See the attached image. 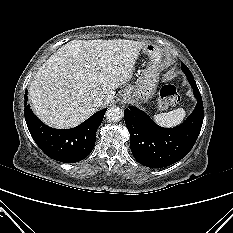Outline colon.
I'll return each instance as SVG.
<instances>
[{
  "mask_svg": "<svg viewBox=\"0 0 233 233\" xmlns=\"http://www.w3.org/2000/svg\"><path fill=\"white\" fill-rule=\"evenodd\" d=\"M180 101V96L175 86L171 84L164 85L160 91V106L167 108Z\"/></svg>",
  "mask_w": 233,
  "mask_h": 233,
  "instance_id": "obj_1",
  "label": "colon"
}]
</instances>
